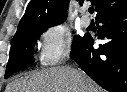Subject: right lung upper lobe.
Here are the masks:
<instances>
[{"label":"right lung upper lobe","instance_id":"cb5924a9","mask_svg":"<svg viewBox=\"0 0 127 92\" xmlns=\"http://www.w3.org/2000/svg\"><path fill=\"white\" fill-rule=\"evenodd\" d=\"M80 4L84 0H79ZM69 0H31L21 18L17 32L13 38L19 36L34 26H55L65 21ZM97 11L96 19L105 13L127 8V0H91Z\"/></svg>","mask_w":127,"mask_h":92}]
</instances>
